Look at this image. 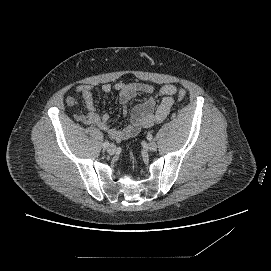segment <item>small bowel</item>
Returning a JSON list of instances; mask_svg holds the SVG:
<instances>
[{
	"label": "small bowel",
	"mask_w": 271,
	"mask_h": 271,
	"mask_svg": "<svg viewBox=\"0 0 271 271\" xmlns=\"http://www.w3.org/2000/svg\"><path fill=\"white\" fill-rule=\"evenodd\" d=\"M75 91L81 96L86 111L77 112L75 119L86 125H94L106 132L112 139L121 141L137 135L141 129L161 123L170 113L174 103L173 95L177 88L172 84H166L159 88L146 83H116L105 84L102 92H116L123 106V113L127 112L126 105L135 97L147 95L144 102L136 105L130 113V122L123 128L117 129L110 125L109 116L100 115L97 111L93 88L90 85H79ZM161 101L158 103V99ZM66 103L69 106H77L78 100L74 96H68Z\"/></svg>",
	"instance_id": "small-bowel-1"
}]
</instances>
